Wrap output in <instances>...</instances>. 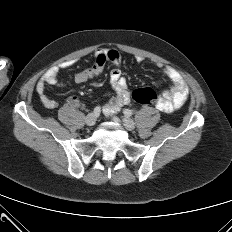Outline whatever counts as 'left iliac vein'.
<instances>
[{
  "instance_id": "obj_1",
  "label": "left iliac vein",
  "mask_w": 232,
  "mask_h": 232,
  "mask_svg": "<svg viewBox=\"0 0 232 232\" xmlns=\"http://www.w3.org/2000/svg\"><path fill=\"white\" fill-rule=\"evenodd\" d=\"M122 122L125 128L128 130H133L135 128L134 121L128 117H123Z\"/></svg>"
}]
</instances>
